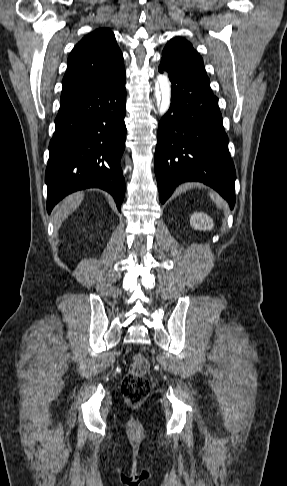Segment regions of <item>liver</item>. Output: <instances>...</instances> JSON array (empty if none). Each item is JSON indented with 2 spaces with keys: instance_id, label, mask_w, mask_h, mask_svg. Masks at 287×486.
Here are the masks:
<instances>
[{
  "instance_id": "1",
  "label": "liver",
  "mask_w": 287,
  "mask_h": 486,
  "mask_svg": "<svg viewBox=\"0 0 287 486\" xmlns=\"http://www.w3.org/2000/svg\"><path fill=\"white\" fill-rule=\"evenodd\" d=\"M84 198L83 192H76L66 197L63 202L55 208L54 225L55 228H60L63 221L73 213L81 204Z\"/></svg>"
}]
</instances>
